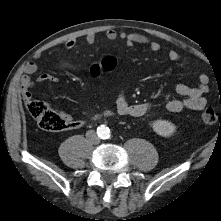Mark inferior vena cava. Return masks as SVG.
I'll use <instances>...</instances> for the list:
<instances>
[{
  "instance_id": "inferior-vena-cava-1",
  "label": "inferior vena cava",
  "mask_w": 221,
  "mask_h": 221,
  "mask_svg": "<svg viewBox=\"0 0 221 221\" xmlns=\"http://www.w3.org/2000/svg\"><path fill=\"white\" fill-rule=\"evenodd\" d=\"M86 137L92 144H98L100 142L99 137L96 135L95 131L93 130L87 131Z\"/></svg>"
}]
</instances>
